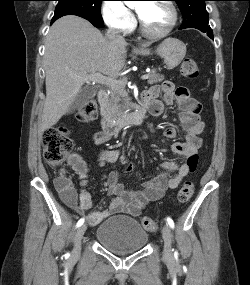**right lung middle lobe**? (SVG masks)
Instances as JSON below:
<instances>
[{
	"instance_id": "obj_1",
	"label": "right lung middle lobe",
	"mask_w": 250,
	"mask_h": 285,
	"mask_svg": "<svg viewBox=\"0 0 250 285\" xmlns=\"http://www.w3.org/2000/svg\"><path fill=\"white\" fill-rule=\"evenodd\" d=\"M52 22L65 15L80 16L91 23L103 25L101 2L103 0H57Z\"/></svg>"
}]
</instances>
